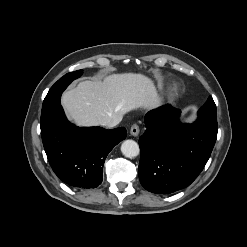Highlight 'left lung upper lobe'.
I'll return each instance as SVG.
<instances>
[{
	"mask_svg": "<svg viewBox=\"0 0 247 247\" xmlns=\"http://www.w3.org/2000/svg\"><path fill=\"white\" fill-rule=\"evenodd\" d=\"M197 123L217 129V113L216 105L212 99L209 97L207 102L198 111Z\"/></svg>",
	"mask_w": 247,
	"mask_h": 247,
	"instance_id": "5c2ea615",
	"label": "left lung upper lobe"
}]
</instances>
